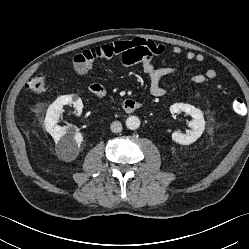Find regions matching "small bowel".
Segmentation results:
<instances>
[{
    "mask_svg": "<svg viewBox=\"0 0 249 249\" xmlns=\"http://www.w3.org/2000/svg\"><path fill=\"white\" fill-rule=\"evenodd\" d=\"M164 52L165 47L162 44L151 40L140 38L114 40L79 53L74 59V66L79 76L86 77L96 60L119 56L123 67L127 68L137 64L140 65L142 71L148 77L150 94L155 97H161L166 94V89L161 84L162 79L178 72V69L175 67H158L153 63V58ZM172 52L175 55H179L182 49L179 46H174ZM185 57L189 61L198 63H203L205 60L204 55L193 51L186 52ZM215 77L216 71L214 69H207L204 73L192 75L191 81L195 84H203ZM92 86L104 88L98 83H94Z\"/></svg>",
    "mask_w": 249,
    "mask_h": 249,
    "instance_id": "c3829d8e",
    "label": "small bowel"
}]
</instances>
